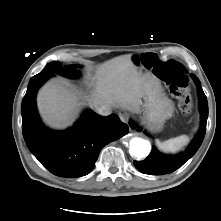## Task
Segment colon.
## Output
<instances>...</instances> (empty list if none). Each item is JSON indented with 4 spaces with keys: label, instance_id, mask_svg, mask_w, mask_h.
<instances>
[{
    "label": "colon",
    "instance_id": "colon-1",
    "mask_svg": "<svg viewBox=\"0 0 221 221\" xmlns=\"http://www.w3.org/2000/svg\"><path fill=\"white\" fill-rule=\"evenodd\" d=\"M141 61L145 68L152 69L154 75L168 85L170 93L178 99L180 110L190 114L192 98L187 88L186 69L174 60H160L152 53L145 54Z\"/></svg>",
    "mask_w": 221,
    "mask_h": 221
}]
</instances>
